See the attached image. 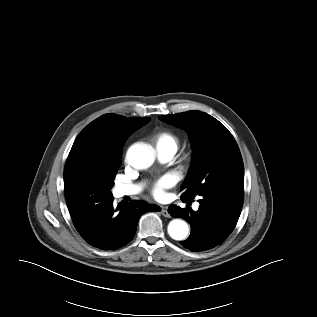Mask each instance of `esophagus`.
Masks as SVG:
<instances>
[{
	"label": "esophagus",
	"instance_id": "34e87169",
	"mask_svg": "<svg viewBox=\"0 0 317 317\" xmlns=\"http://www.w3.org/2000/svg\"><path fill=\"white\" fill-rule=\"evenodd\" d=\"M161 208H162V209H161V214H162L164 217L169 218V217H170V214H169L168 211H167V207H166V206H162Z\"/></svg>",
	"mask_w": 317,
	"mask_h": 317
}]
</instances>
